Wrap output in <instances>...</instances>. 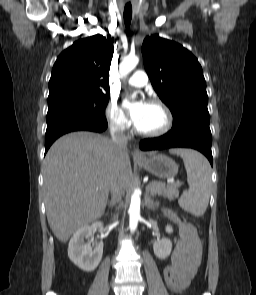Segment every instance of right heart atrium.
I'll list each match as a JSON object with an SVG mask.
<instances>
[{
    "mask_svg": "<svg viewBox=\"0 0 256 295\" xmlns=\"http://www.w3.org/2000/svg\"><path fill=\"white\" fill-rule=\"evenodd\" d=\"M106 118L111 128L123 132L128 128V119L121 107L112 101L106 109Z\"/></svg>",
    "mask_w": 256,
    "mask_h": 295,
    "instance_id": "d8ad5b80",
    "label": "right heart atrium"
}]
</instances>
